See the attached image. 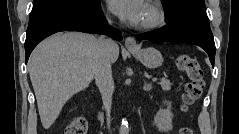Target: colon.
<instances>
[{
	"label": "colon",
	"mask_w": 239,
	"mask_h": 134,
	"mask_svg": "<svg viewBox=\"0 0 239 134\" xmlns=\"http://www.w3.org/2000/svg\"><path fill=\"white\" fill-rule=\"evenodd\" d=\"M177 66L189 78L181 98L182 109L187 110L203 93L205 87L204 73L199 62L186 54L178 56ZM87 131V120L84 117H77L65 128L64 134H86ZM179 133L192 134V130L189 127H182Z\"/></svg>",
	"instance_id": "5ec220e1"
}]
</instances>
